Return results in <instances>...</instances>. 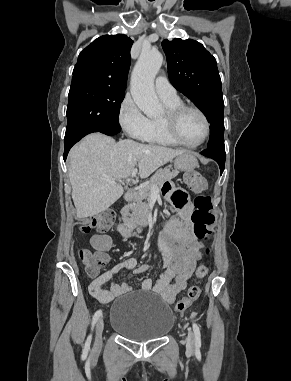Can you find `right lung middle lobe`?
Listing matches in <instances>:
<instances>
[{"label": "right lung middle lobe", "instance_id": "obj_1", "mask_svg": "<svg viewBox=\"0 0 291 381\" xmlns=\"http://www.w3.org/2000/svg\"><path fill=\"white\" fill-rule=\"evenodd\" d=\"M124 91L100 86H71L64 141H78L94 130L119 126L118 114Z\"/></svg>", "mask_w": 291, "mask_h": 381}]
</instances>
